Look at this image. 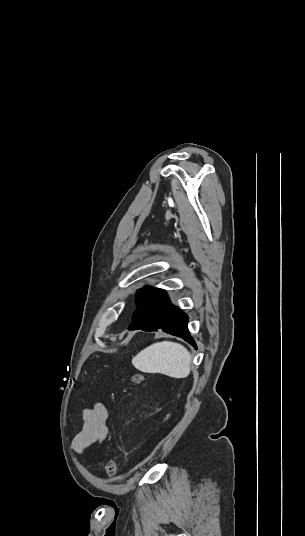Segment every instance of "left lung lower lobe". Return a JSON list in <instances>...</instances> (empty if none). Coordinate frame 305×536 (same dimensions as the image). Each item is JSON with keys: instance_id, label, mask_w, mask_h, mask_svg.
<instances>
[{"instance_id": "1", "label": "left lung lower lobe", "mask_w": 305, "mask_h": 536, "mask_svg": "<svg viewBox=\"0 0 305 536\" xmlns=\"http://www.w3.org/2000/svg\"><path fill=\"white\" fill-rule=\"evenodd\" d=\"M168 296L160 290L142 304L132 315L129 330L157 331L162 329L166 333L183 338L196 348L190 336L187 323L188 316L176 306H168Z\"/></svg>"}]
</instances>
